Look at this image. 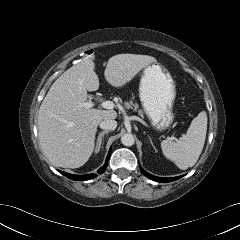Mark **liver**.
Wrapping results in <instances>:
<instances>
[{"label": "liver", "mask_w": 240, "mask_h": 240, "mask_svg": "<svg viewBox=\"0 0 240 240\" xmlns=\"http://www.w3.org/2000/svg\"><path fill=\"white\" fill-rule=\"evenodd\" d=\"M155 62L148 55L118 54L108 60L104 76L110 85L121 87ZM98 88L95 63L89 58L66 70L50 87L39 108L38 135L41 150L52 165L83 166L93 153L99 123L116 118L113 110L79 107L87 100V91Z\"/></svg>", "instance_id": "liver-1"}]
</instances>
